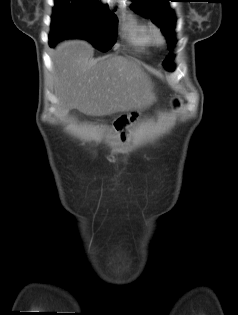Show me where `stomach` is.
I'll return each mask as SVG.
<instances>
[{
  "label": "stomach",
  "instance_id": "obj_1",
  "mask_svg": "<svg viewBox=\"0 0 238 315\" xmlns=\"http://www.w3.org/2000/svg\"><path fill=\"white\" fill-rule=\"evenodd\" d=\"M180 104H181L180 98H171L170 102L168 103V108L170 112H177Z\"/></svg>",
  "mask_w": 238,
  "mask_h": 315
}]
</instances>
